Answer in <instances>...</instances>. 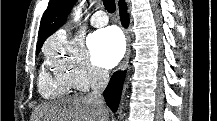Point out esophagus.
I'll use <instances>...</instances> for the list:
<instances>
[{"mask_svg": "<svg viewBox=\"0 0 217 121\" xmlns=\"http://www.w3.org/2000/svg\"><path fill=\"white\" fill-rule=\"evenodd\" d=\"M125 36H126V52H125V56L122 60V62L120 63L118 70L122 71L126 68L128 62H129V58H130V53H131V36H130V32L128 29H125Z\"/></svg>", "mask_w": 217, "mask_h": 121, "instance_id": "1", "label": "esophagus"}]
</instances>
